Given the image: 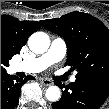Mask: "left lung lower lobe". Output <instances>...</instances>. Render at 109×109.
<instances>
[{"label":"left lung lower lobe","mask_w":109,"mask_h":109,"mask_svg":"<svg viewBox=\"0 0 109 109\" xmlns=\"http://www.w3.org/2000/svg\"><path fill=\"white\" fill-rule=\"evenodd\" d=\"M108 95L109 81L91 76L76 77L75 82L65 86L61 99L52 103V107L53 109H98Z\"/></svg>","instance_id":"left-lung-lower-lobe-1"}]
</instances>
